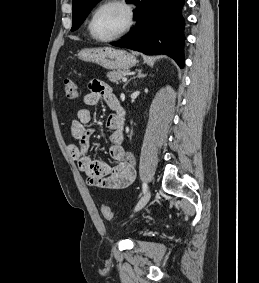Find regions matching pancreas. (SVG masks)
Here are the masks:
<instances>
[{
	"label": "pancreas",
	"instance_id": "cf45deb5",
	"mask_svg": "<svg viewBox=\"0 0 259 283\" xmlns=\"http://www.w3.org/2000/svg\"><path fill=\"white\" fill-rule=\"evenodd\" d=\"M126 74L125 70H116L107 73V77L111 82L118 83Z\"/></svg>",
	"mask_w": 259,
	"mask_h": 283
}]
</instances>
